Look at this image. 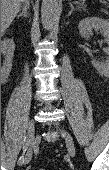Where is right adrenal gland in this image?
Returning <instances> with one entry per match:
<instances>
[{
    "label": "right adrenal gland",
    "mask_w": 109,
    "mask_h": 170,
    "mask_svg": "<svg viewBox=\"0 0 109 170\" xmlns=\"http://www.w3.org/2000/svg\"><path fill=\"white\" fill-rule=\"evenodd\" d=\"M28 8H29V5L25 3L22 7V12L19 15H17V17L18 18L19 17H28V12H27Z\"/></svg>",
    "instance_id": "obj_1"
}]
</instances>
